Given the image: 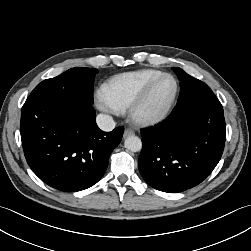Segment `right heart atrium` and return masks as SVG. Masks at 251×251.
Instances as JSON below:
<instances>
[{
	"instance_id": "right-heart-atrium-1",
	"label": "right heart atrium",
	"mask_w": 251,
	"mask_h": 251,
	"mask_svg": "<svg viewBox=\"0 0 251 251\" xmlns=\"http://www.w3.org/2000/svg\"><path fill=\"white\" fill-rule=\"evenodd\" d=\"M95 103L98 109L106 113L117 114L120 110L110 101L103 89L95 92Z\"/></svg>"
}]
</instances>
